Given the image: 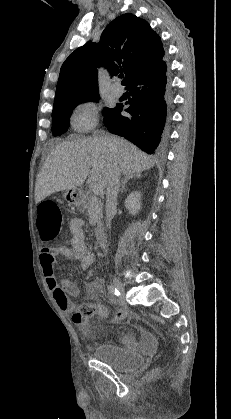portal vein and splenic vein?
<instances>
[{
  "label": "portal vein and splenic vein",
  "instance_id": "18ae733b",
  "mask_svg": "<svg viewBox=\"0 0 231 419\" xmlns=\"http://www.w3.org/2000/svg\"><path fill=\"white\" fill-rule=\"evenodd\" d=\"M92 192L95 196H99L103 193V186L100 183H94L92 185Z\"/></svg>",
  "mask_w": 231,
  "mask_h": 419
}]
</instances>
